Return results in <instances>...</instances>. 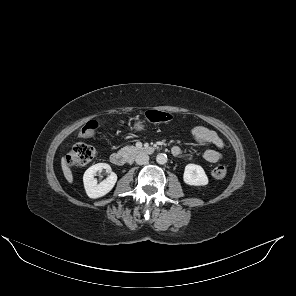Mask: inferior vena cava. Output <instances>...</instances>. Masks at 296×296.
<instances>
[{
    "instance_id": "obj_1",
    "label": "inferior vena cava",
    "mask_w": 296,
    "mask_h": 296,
    "mask_svg": "<svg viewBox=\"0 0 296 296\" xmlns=\"http://www.w3.org/2000/svg\"><path fill=\"white\" fill-rule=\"evenodd\" d=\"M135 161L138 165L147 164L149 161V156L144 153L138 154L135 158Z\"/></svg>"
}]
</instances>
